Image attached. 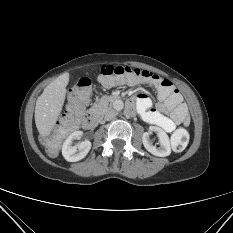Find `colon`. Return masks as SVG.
<instances>
[{
	"instance_id": "1",
	"label": "colon",
	"mask_w": 233,
	"mask_h": 233,
	"mask_svg": "<svg viewBox=\"0 0 233 233\" xmlns=\"http://www.w3.org/2000/svg\"><path fill=\"white\" fill-rule=\"evenodd\" d=\"M99 81L106 87L147 84L157 93L158 98L167 101L172 106V117L175 121L185 123L189 120L187 106L179 91L169 80L156 74L127 66L103 65ZM91 88L90 79L83 77L70 91L69 105L63 120L50 135L43 138V143L50 153H56L62 141L78 129L84 107L91 95ZM188 142L189 133L185 129H178L171 138V146L178 152L184 150Z\"/></svg>"
}]
</instances>
